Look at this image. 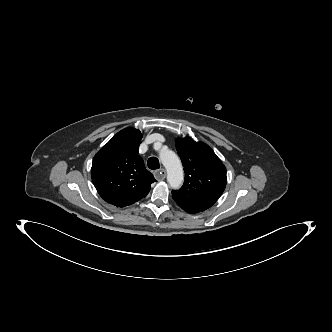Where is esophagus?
<instances>
[{
    "label": "esophagus",
    "mask_w": 332,
    "mask_h": 332,
    "mask_svg": "<svg viewBox=\"0 0 332 332\" xmlns=\"http://www.w3.org/2000/svg\"><path fill=\"white\" fill-rule=\"evenodd\" d=\"M154 176L157 180H164L166 178L165 169H160L158 171H155Z\"/></svg>",
    "instance_id": "obj_1"
}]
</instances>
